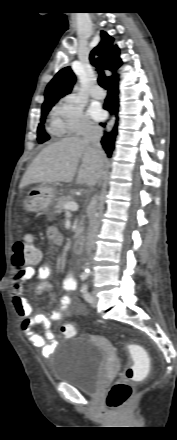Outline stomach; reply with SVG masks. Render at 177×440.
<instances>
[{"mask_svg":"<svg viewBox=\"0 0 177 440\" xmlns=\"http://www.w3.org/2000/svg\"><path fill=\"white\" fill-rule=\"evenodd\" d=\"M56 202V190L53 185L42 184L32 188L24 200L28 212L51 214Z\"/></svg>","mask_w":177,"mask_h":440,"instance_id":"obj_1","label":"stomach"}]
</instances>
